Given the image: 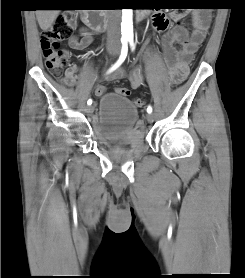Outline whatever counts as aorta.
<instances>
[{"mask_svg":"<svg viewBox=\"0 0 245 278\" xmlns=\"http://www.w3.org/2000/svg\"><path fill=\"white\" fill-rule=\"evenodd\" d=\"M132 9H122L121 32L123 37L133 36Z\"/></svg>","mask_w":245,"mask_h":278,"instance_id":"1","label":"aorta"}]
</instances>
